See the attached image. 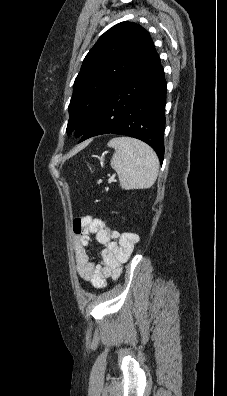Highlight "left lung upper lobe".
I'll return each mask as SVG.
<instances>
[{
    "label": "left lung upper lobe",
    "instance_id": "5c2ea615",
    "mask_svg": "<svg viewBox=\"0 0 227 396\" xmlns=\"http://www.w3.org/2000/svg\"><path fill=\"white\" fill-rule=\"evenodd\" d=\"M154 49L149 33L136 23L121 22L106 31L86 55L75 79L67 131L85 126V118L92 120L106 97Z\"/></svg>",
    "mask_w": 227,
    "mask_h": 396
}]
</instances>
